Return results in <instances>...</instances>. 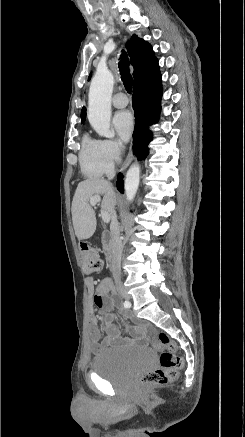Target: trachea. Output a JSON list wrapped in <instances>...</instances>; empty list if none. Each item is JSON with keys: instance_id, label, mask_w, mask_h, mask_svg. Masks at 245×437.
I'll use <instances>...</instances> for the list:
<instances>
[{"instance_id": "obj_1", "label": "trachea", "mask_w": 245, "mask_h": 437, "mask_svg": "<svg viewBox=\"0 0 245 437\" xmlns=\"http://www.w3.org/2000/svg\"><path fill=\"white\" fill-rule=\"evenodd\" d=\"M121 60L119 61V71L121 74V80L125 86L126 91L131 94L133 86V78L129 70V59L126 52H122L120 55Z\"/></svg>"}]
</instances>
